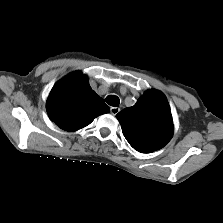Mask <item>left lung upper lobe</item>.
<instances>
[{
	"mask_svg": "<svg viewBox=\"0 0 223 223\" xmlns=\"http://www.w3.org/2000/svg\"><path fill=\"white\" fill-rule=\"evenodd\" d=\"M116 117L126 140L142 153L162 148L173 135L169 104L157 90L146 91L134 106L125 108Z\"/></svg>",
	"mask_w": 223,
	"mask_h": 223,
	"instance_id": "obj_1",
	"label": "left lung upper lobe"
}]
</instances>
